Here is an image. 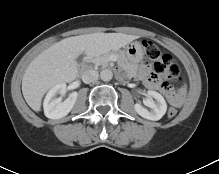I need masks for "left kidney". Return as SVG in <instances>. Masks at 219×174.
Segmentation results:
<instances>
[{
    "label": "left kidney",
    "mask_w": 219,
    "mask_h": 174,
    "mask_svg": "<svg viewBox=\"0 0 219 174\" xmlns=\"http://www.w3.org/2000/svg\"><path fill=\"white\" fill-rule=\"evenodd\" d=\"M146 96L147 98L143 100V103L150 110L136 103L134 105L135 111L145 119L152 121L160 120L167 110L165 99L160 93L152 90L147 91Z\"/></svg>",
    "instance_id": "5707ae66"
}]
</instances>
